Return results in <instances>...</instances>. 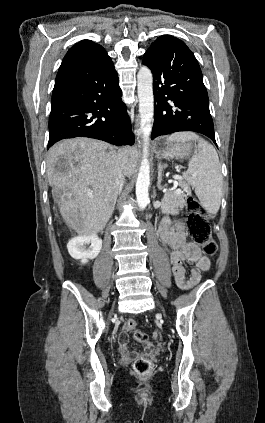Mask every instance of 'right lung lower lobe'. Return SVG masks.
Returning <instances> with one entry per match:
<instances>
[{
	"mask_svg": "<svg viewBox=\"0 0 265 423\" xmlns=\"http://www.w3.org/2000/svg\"><path fill=\"white\" fill-rule=\"evenodd\" d=\"M113 62L88 60L60 67L52 93L48 149L78 136L134 144Z\"/></svg>",
	"mask_w": 265,
	"mask_h": 423,
	"instance_id": "right-lung-lower-lobe-1",
	"label": "right lung lower lobe"
}]
</instances>
